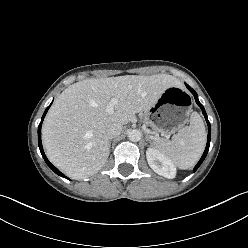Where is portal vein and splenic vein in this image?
I'll return each mask as SVG.
<instances>
[{
  "mask_svg": "<svg viewBox=\"0 0 248 248\" xmlns=\"http://www.w3.org/2000/svg\"><path fill=\"white\" fill-rule=\"evenodd\" d=\"M118 104V100L116 98H111L110 102L107 105L106 111L110 114L114 112V107Z\"/></svg>",
  "mask_w": 248,
  "mask_h": 248,
  "instance_id": "18ae733b",
  "label": "portal vein and splenic vein"
}]
</instances>
